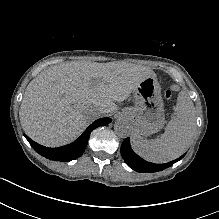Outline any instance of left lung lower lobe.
Wrapping results in <instances>:
<instances>
[{
    "label": "left lung lower lobe",
    "mask_w": 219,
    "mask_h": 219,
    "mask_svg": "<svg viewBox=\"0 0 219 219\" xmlns=\"http://www.w3.org/2000/svg\"><path fill=\"white\" fill-rule=\"evenodd\" d=\"M121 155L128 166H130L133 170L140 173H152V172L162 171L172 166L174 163H176L178 160L184 157V155H182L180 158L165 164L150 163L140 158L135 152H133L130 146L129 138L125 139L124 142L122 143Z\"/></svg>",
    "instance_id": "obj_1"
}]
</instances>
